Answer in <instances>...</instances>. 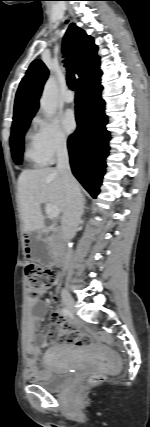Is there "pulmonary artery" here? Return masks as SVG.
Wrapping results in <instances>:
<instances>
[{
  "label": "pulmonary artery",
  "mask_w": 150,
  "mask_h": 427,
  "mask_svg": "<svg viewBox=\"0 0 150 427\" xmlns=\"http://www.w3.org/2000/svg\"><path fill=\"white\" fill-rule=\"evenodd\" d=\"M62 98H63V101L66 103H72L74 101V96H73L72 92L69 90L63 94Z\"/></svg>",
  "instance_id": "e3ab8cb5"
}]
</instances>
